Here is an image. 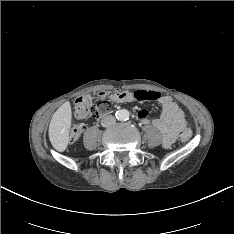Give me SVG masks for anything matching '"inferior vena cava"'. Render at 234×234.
Returning a JSON list of instances; mask_svg holds the SVG:
<instances>
[{
	"label": "inferior vena cava",
	"instance_id": "1",
	"mask_svg": "<svg viewBox=\"0 0 234 234\" xmlns=\"http://www.w3.org/2000/svg\"><path fill=\"white\" fill-rule=\"evenodd\" d=\"M116 122V119L114 116L112 115H107V116H104L101 120V125L103 127H108V126H111L113 125L114 123Z\"/></svg>",
	"mask_w": 234,
	"mask_h": 234
}]
</instances>
